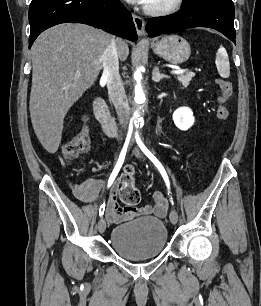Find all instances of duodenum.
<instances>
[{
  "mask_svg": "<svg viewBox=\"0 0 261 306\" xmlns=\"http://www.w3.org/2000/svg\"><path fill=\"white\" fill-rule=\"evenodd\" d=\"M93 109L103 130L109 135H115L117 132V124L104 99L101 97L96 98L93 102Z\"/></svg>",
  "mask_w": 261,
  "mask_h": 306,
  "instance_id": "obj_1",
  "label": "duodenum"
}]
</instances>
